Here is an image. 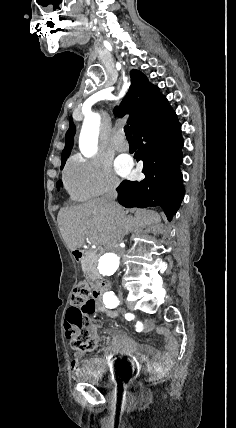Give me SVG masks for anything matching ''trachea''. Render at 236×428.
Instances as JSON below:
<instances>
[{
    "mask_svg": "<svg viewBox=\"0 0 236 428\" xmlns=\"http://www.w3.org/2000/svg\"><path fill=\"white\" fill-rule=\"evenodd\" d=\"M124 132H125L127 140L133 139L132 131H131V128L129 127V125H125Z\"/></svg>",
    "mask_w": 236,
    "mask_h": 428,
    "instance_id": "3493384b",
    "label": "trachea"
}]
</instances>
